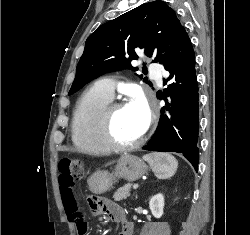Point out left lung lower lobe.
Instances as JSON below:
<instances>
[{"label":"left lung lower lobe","mask_w":250,"mask_h":235,"mask_svg":"<svg viewBox=\"0 0 250 235\" xmlns=\"http://www.w3.org/2000/svg\"><path fill=\"white\" fill-rule=\"evenodd\" d=\"M170 76L164 79V85L171 82L165 95L166 111L162 109L159 126L149 141L146 150L182 153L198 170L199 149L198 125L199 104L198 84L195 71V54L191 41L181 29L175 45L163 63Z\"/></svg>","instance_id":"left-lung-lower-lobe-1"}]
</instances>
